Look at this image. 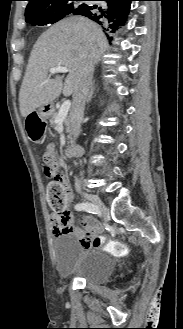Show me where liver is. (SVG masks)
Wrapping results in <instances>:
<instances>
[{
	"label": "liver",
	"mask_w": 183,
	"mask_h": 329,
	"mask_svg": "<svg viewBox=\"0 0 183 329\" xmlns=\"http://www.w3.org/2000/svg\"><path fill=\"white\" fill-rule=\"evenodd\" d=\"M108 47L101 27L82 16L65 18L46 30L33 46L19 93L20 112L27 117L38 107L52 103L63 91L75 92L82 63H98ZM65 66L69 73L64 84L60 76L48 78L53 67Z\"/></svg>",
	"instance_id": "obj_1"
}]
</instances>
